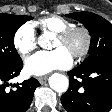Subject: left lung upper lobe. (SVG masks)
<instances>
[{
    "label": "left lung upper lobe",
    "instance_id": "1",
    "mask_svg": "<svg viewBox=\"0 0 112 112\" xmlns=\"http://www.w3.org/2000/svg\"><path fill=\"white\" fill-rule=\"evenodd\" d=\"M66 16L80 21L91 35L89 57L79 68H89L96 63L112 60V25L107 20L90 12H76Z\"/></svg>",
    "mask_w": 112,
    "mask_h": 112
}]
</instances>
